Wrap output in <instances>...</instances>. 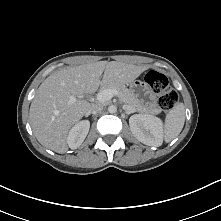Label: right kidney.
Listing matches in <instances>:
<instances>
[{
  "label": "right kidney",
  "mask_w": 221,
  "mask_h": 221,
  "mask_svg": "<svg viewBox=\"0 0 221 221\" xmlns=\"http://www.w3.org/2000/svg\"><path fill=\"white\" fill-rule=\"evenodd\" d=\"M90 128V122L83 120L75 124L70 130L67 143L71 149L78 148L85 140Z\"/></svg>",
  "instance_id": "1"
}]
</instances>
